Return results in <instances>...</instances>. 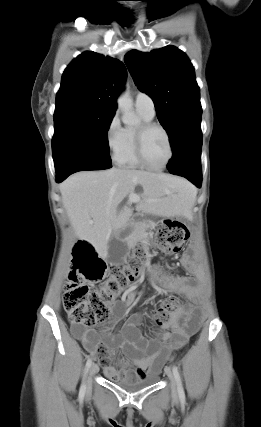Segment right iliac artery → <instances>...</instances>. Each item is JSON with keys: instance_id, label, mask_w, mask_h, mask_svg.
Listing matches in <instances>:
<instances>
[{"instance_id": "obj_1", "label": "right iliac artery", "mask_w": 261, "mask_h": 427, "mask_svg": "<svg viewBox=\"0 0 261 427\" xmlns=\"http://www.w3.org/2000/svg\"><path fill=\"white\" fill-rule=\"evenodd\" d=\"M92 365V359L88 358L87 362H86V373L88 372L89 368ZM85 390H86V385H85V381L82 383L81 387H80V392H79V396L83 397L85 394Z\"/></svg>"}]
</instances>
